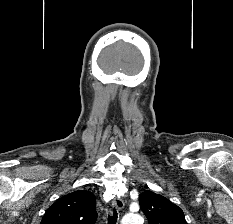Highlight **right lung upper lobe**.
<instances>
[{"instance_id": "right-lung-upper-lobe-1", "label": "right lung upper lobe", "mask_w": 233, "mask_h": 224, "mask_svg": "<svg viewBox=\"0 0 233 224\" xmlns=\"http://www.w3.org/2000/svg\"><path fill=\"white\" fill-rule=\"evenodd\" d=\"M96 200L92 192L78 190L49 207L40 224H95Z\"/></svg>"}]
</instances>
